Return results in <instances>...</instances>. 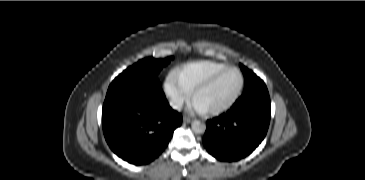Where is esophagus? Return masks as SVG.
Instances as JSON below:
<instances>
[{
    "instance_id": "1",
    "label": "esophagus",
    "mask_w": 365,
    "mask_h": 180,
    "mask_svg": "<svg viewBox=\"0 0 365 180\" xmlns=\"http://www.w3.org/2000/svg\"><path fill=\"white\" fill-rule=\"evenodd\" d=\"M193 121V119L189 116H184L183 117V122L184 123H191Z\"/></svg>"
}]
</instances>
